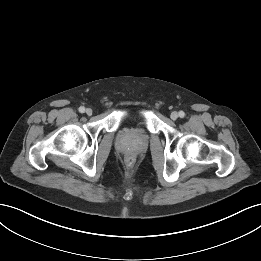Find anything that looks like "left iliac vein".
<instances>
[{
  "label": "left iliac vein",
  "mask_w": 261,
  "mask_h": 261,
  "mask_svg": "<svg viewBox=\"0 0 261 261\" xmlns=\"http://www.w3.org/2000/svg\"><path fill=\"white\" fill-rule=\"evenodd\" d=\"M178 116L179 115H178V113L176 111L172 112L171 115H170L172 120H176L178 118Z\"/></svg>",
  "instance_id": "1"
}]
</instances>
